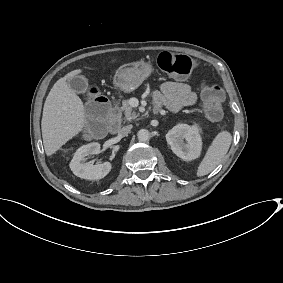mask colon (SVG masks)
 Returning <instances> with one entry per match:
<instances>
[{
  "instance_id": "colon-1",
  "label": "colon",
  "mask_w": 283,
  "mask_h": 283,
  "mask_svg": "<svg viewBox=\"0 0 283 283\" xmlns=\"http://www.w3.org/2000/svg\"><path fill=\"white\" fill-rule=\"evenodd\" d=\"M159 67L174 76L186 77L197 67L194 58L186 55L163 52L158 57ZM224 91L217 85L204 86L201 101L208 118L218 120L222 116ZM86 109L88 115L87 129L92 134H99L104 129V120L109 112L108 100L95 88L88 92Z\"/></svg>"
}]
</instances>
